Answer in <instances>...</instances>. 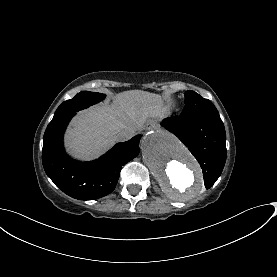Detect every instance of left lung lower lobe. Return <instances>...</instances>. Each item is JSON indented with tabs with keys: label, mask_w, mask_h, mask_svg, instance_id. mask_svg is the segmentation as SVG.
Listing matches in <instances>:
<instances>
[{
	"label": "left lung lower lobe",
	"mask_w": 277,
	"mask_h": 277,
	"mask_svg": "<svg viewBox=\"0 0 277 277\" xmlns=\"http://www.w3.org/2000/svg\"><path fill=\"white\" fill-rule=\"evenodd\" d=\"M162 126L175 134L198 160L206 188L222 173L226 161V133L220 117L166 118Z\"/></svg>",
	"instance_id": "1"
}]
</instances>
